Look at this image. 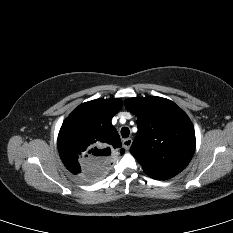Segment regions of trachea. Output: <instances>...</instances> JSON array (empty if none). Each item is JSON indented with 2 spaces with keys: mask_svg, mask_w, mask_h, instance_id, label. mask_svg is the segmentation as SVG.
I'll list each match as a JSON object with an SVG mask.
<instances>
[{
  "mask_svg": "<svg viewBox=\"0 0 233 233\" xmlns=\"http://www.w3.org/2000/svg\"><path fill=\"white\" fill-rule=\"evenodd\" d=\"M129 133H130V131H129L128 127H123L121 129V135L123 138H127L129 136Z\"/></svg>",
  "mask_w": 233,
  "mask_h": 233,
  "instance_id": "obj_1",
  "label": "trachea"
}]
</instances>
